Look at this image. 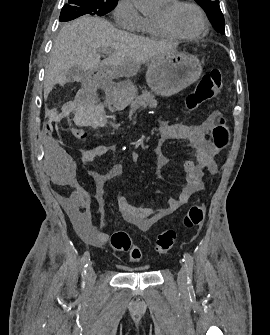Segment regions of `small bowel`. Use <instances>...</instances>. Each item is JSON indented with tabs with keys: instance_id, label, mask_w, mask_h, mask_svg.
Wrapping results in <instances>:
<instances>
[{
	"instance_id": "1",
	"label": "small bowel",
	"mask_w": 270,
	"mask_h": 335,
	"mask_svg": "<svg viewBox=\"0 0 270 335\" xmlns=\"http://www.w3.org/2000/svg\"><path fill=\"white\" fill-rule=\"evenodd\" d=\"M212 118H208L198 125H184L181 123L162 122L159 125V146L155 150L157 172L168 163V158L162 154L160 146L175 139H186L196 152L197 162L185 160L183 169L186 174V184L178 197H170L166 205L160 208H143L132 205L124 195L117 196L118 208L123 219L135 226L141 232L149 231L160 220L172 215L185 205L192 195L203 189L206 173L216 175L218 165L213 155V145L207 138ZM48 134H60L61 128L57 121L51 122L47 128ZM45 150L47 157L41 158V165H47L44 178H66L62 184L73 188L72 193L62 199L65 210L81 237L93 245H102L108 240L105 232L97 229L93 224L92 205L98 206L97 215L104 216L107 183L122 175L124 167L116 162L109 170L102 172L91 169L89 174L94 182V193L91 195L85 187L78 184L74 178H80V171H76L77 158H68L67 149L59 147L53 135L45 136ZM111 151L106 145H97L82 152L80 161L91 163L105 157Z\"/></svg>"
}]
</instances>
